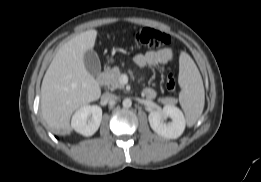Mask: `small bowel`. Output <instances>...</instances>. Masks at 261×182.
Returning a JSON list of instances; mask_svg holds the SVG:
<instances>
[{"mask_svg": "<svg viewBox=\"0 0 261 182\" xmlns=\"http://www.w3.org/2000/svg\"><path fill=\"white\" fill-rule=\"evenodd\" d=\"M174 57L173 50L167 47L139 53L134 57V62L139 67H157L172 62ZM144 94L148 98H154L156 96V92L152 88H146Z\"/></svg>", "mask_w": 261, "mask_h": 182, "instance_id": "1", "label": "small bowel"}]
</instances>
